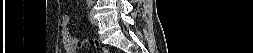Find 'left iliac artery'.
<instances>
[{"mask_svg":"<svg viewBox=\"0 0 253 53\" xmlns=\"http://www.w3.org/2000/svg\"><path fill=\"white\" fill-rule=\"evenodd\" d=\"M90 4H91V0H88V5L90 6Z\"/></svg>","mask_w":253,"mask_h":53,"instance_id":"1","label":"left iliac artery"}]
</instances>
